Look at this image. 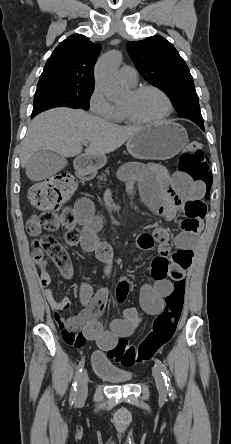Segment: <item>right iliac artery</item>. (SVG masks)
I'll return each instance as SVG.
<instances>
[{
	"label": "right iliac artery",
	"instance_id": "obj_1",
	"mask_svg": "<svg viewBox=\"0 0 231 444\" xmlns=\"http://www.w3.org/2000/svg\"><path fill=\"white\" fill-rule=\"evenodd\" d=\"M84 362H85L84 358L81 359V361L78 363V365L76 367V373H75L74 381H73L72 386H71V393H70V402H72V403L75 400L76 386H77V382H78V379L80 377V374L82 372V369L84 367Z\"/></svg>",
	"mask_w": 231,
	"mask_h": 444
}]
</instances>
